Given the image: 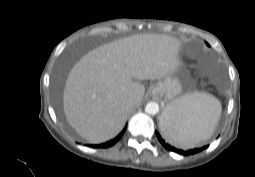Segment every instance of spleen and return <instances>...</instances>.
Returning <instances> with one entry per match:
<instances>
[{
    "instance_id": "spleen-1",
    "label": "spleen",
    "mask_w": 255,
    "mask_h": 177,
    "mask_svg": "<svg viewBox=\"0 0 255 177\" xmlns=\"http://www.w3.org/2000/svg\"><path fill=\"white\" fill-rule=\"evenodd\" d=\"M222 111L219 100L207 93L194 92L169 104L161 131L167 141L182 148H193L209 139Z\"/></svg>"
}]
</instances>
